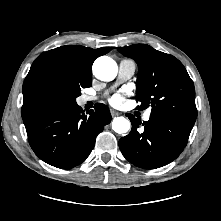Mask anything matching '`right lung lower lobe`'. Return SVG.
<instances>
[{
    "instance_id": "right-lung-lower-lobe-1",
    "label": "right lung lower lobe",
    "mask_w": 221,
    "mask_h": 221,
    "mask_svg": "<svg viewBox=\"0 0 221 221\" xmlns=\"http://www.w3.org/2000/svg\"><path fill=\"white\" fill-rule=\"evenodd\" d=\"M110 121L108 107L100 103L86 114L77 103H60L23 118L35 154L44 162L63 169L86 160L96 136Z\"/></svg>"
}]
</instances>
